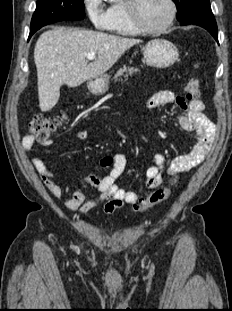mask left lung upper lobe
Returning a JSON list of instances; mask_svg holds the SVG:
<instances>
[{
    "label": "left lung upper lobe",
    "instance_id": "obj_1",
    "mask_svg": "<svg viewBox=\"0 0 232 311\" xmlns=\"http://www.w3.org/2000/svg\"><path fill=\"white\" fill-rule=\"evenodd\" d=\"M173 1L176 4L178 10L177 19H180L182 16L192 12L201 5L209 3V0H173Z\"/></svg>",
    "mask_w": 232,
    "mask_h": 311
}]
</instances>
